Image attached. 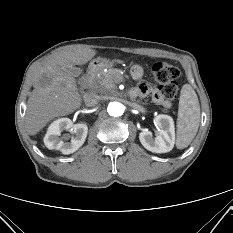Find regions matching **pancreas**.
<instances>
[{
	"label": "pancreas",
	"mask_w": 233,
	"mask_h": 233,
	"mask_svg": "<svg viewBox=\"0 0 233 233\" xmlns=\"http://www.w3.org/2000/svg\"><path fill=\"white\" fill-rule=\"evenodd\" d=\"M108 68L106 72H101L96 79L98 87L102 92L112 91L116 84L123 79L119 69L111 68V66H108Z\"/></svg>",
	"instance_id": "obj_1"
}]
</instances>
